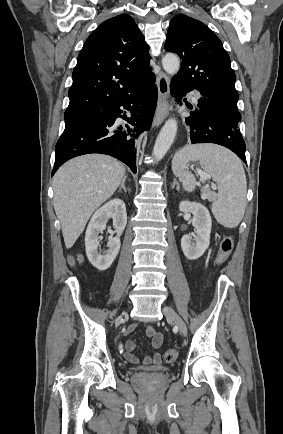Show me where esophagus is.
<instances>
[{
    "instance_id": "34e87169",
    "label": "esophagus",
    "mask_w": 283,
    "mask_h": 434,
    "mask_svg": "<svg viewBox=\"0 0 283 434\" xmlns=\"http://www.w3.org/2000/svg\"><path fill=\"white\" fill-rule=\"evenodd\" d=\"M159 92L158 105L153 120V126H159L169 115L171 109L170 97V79L165 73H160L157 79Z\"/></svg>"
}]
</instances>
